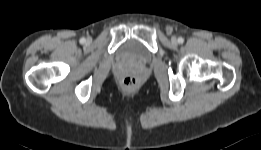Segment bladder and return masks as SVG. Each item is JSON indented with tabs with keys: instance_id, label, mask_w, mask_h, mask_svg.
I'll use <instances>...</instances> for the list:
<instances>
[{
	"instance_id": "bladder-1",
	"label": "bladder",
	"mask_w": 261,
	"mask_h": 150,
	"mask_svg": "<svg viewBox=\"0 0 261 150\" xmlns=\"http://www.w3.org/2000/svg\"><path fill=\"white\" fill-rule=\"evenodd\" d=\"M118 55L123 60L141 64L148 63L152 59V53L135 40L124 42L118 49Z\"/></svg>"
}]
</instances>
